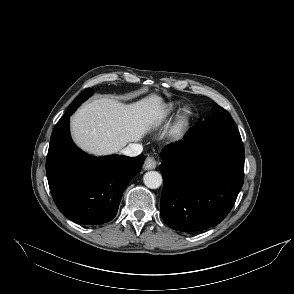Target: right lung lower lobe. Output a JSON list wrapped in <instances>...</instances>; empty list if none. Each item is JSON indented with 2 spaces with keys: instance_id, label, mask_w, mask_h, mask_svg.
Instances as JSON below:
<instances>
[{
  "instance_id": "98d812e1",
  "label": "right lung lower lobe",
  "mask_w": 294,
  "mask_h": 294,
  "mask_svg": "<svg viewBox=\"0 0 294 294\" xmlns=\"http://www.w3.org/2000/svg\"><path fill=\"white\" fill-rule=\"evenodd\" d=\"M83 92L84 98L93 94L91 88ZM72 114L63 116L51 135L46 159L49 188L67 218L85 225L103 224L116 216L122 194L140 172L144 156L96 158L85 154L70 136Z\"/></svg>"
}]
</instances>
